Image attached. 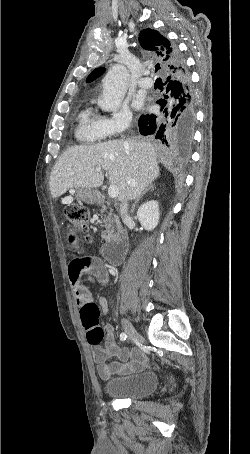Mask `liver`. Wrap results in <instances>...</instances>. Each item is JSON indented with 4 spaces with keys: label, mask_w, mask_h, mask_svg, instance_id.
<instances>
[{
    "label": "liver",
    "mask_w": 250,
    "mask_h": 454,
    "mask_svg": "<svg viewBox=\"0 0 250 454\" xmlns=\"http://www.w3.org/2000/svg\"><path fill=\"white\" fill-rule=\"evenodd\" d=\"M102 171L110 185L118 188L119 201L137 199L160 173L156 150L148 142L113 140L74 146L61 155L51 172V195L58 198L69 189L98 188L104 180Z\"/></svg>",
    "instance_id": "liver-1"
}]
</instances>
